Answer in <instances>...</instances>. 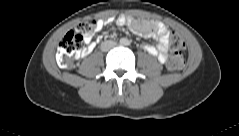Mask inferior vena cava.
Masks as SVG:
<instances>
[{
	"mask_svg": "<svg viewBox=\"0 0 239 136\" xmlns=\"http://www.w3.org/2000/svg\"><path fill=\"white\" fill-rule=\"evenodd\" d=\"M115 45H116V43L114 41H106L101 44V49H102V51H107V50L113 48Z\"/></svg>",
	"mask_w": 239,
	"mask_h": 136,
	"instance_id": "602c4592",
	"label": "inferior vena cava"
}]
</instances>
